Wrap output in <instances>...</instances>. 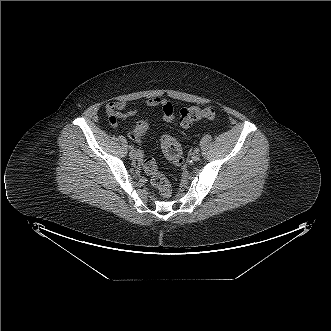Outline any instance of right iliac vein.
Segmentation results:
<instances>
[{"label": "right iliac vein", "instance_id": "63e3f726", "mask_svg": "<svg viewBox=\"0 0 331 331\" xmlns=\"http://www.w3.org/2000/svg\"><path fill=\"white\" fill-rule=\"evenodd\" d=\"M129 156L132 159L137 160V159H139V157L141 156V154L138 151L134 150V151H130Z\"/></svg>", "mask_w": 331, "mask_h": 331}]
</instances>
